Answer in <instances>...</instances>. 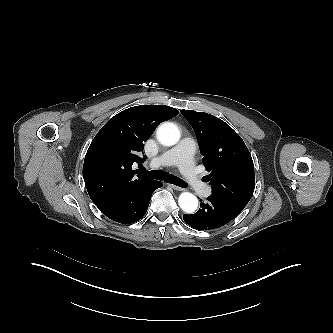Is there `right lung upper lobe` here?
Segmentation results:
<instances>
[{
  "instance_id": "obj_1",
  "label": "right lung upper lobe",
  "mask_w": 333,
  "mask_h": 333,
  "mask_svg": "<svg viewBox=\"0 0 333 333\" xmlns=\"http://www.w3.org/2000/svg\"><path fill=\"white\" fill-rule=\"evenodd\" d=\"M178 113L166 105L134 106L112 117L101 128L91 142L83 165L87 191L98 208L152 180L136 176L132 165L143 161L138 154L156 126Z\"/></svg>"
}]
</instances>
